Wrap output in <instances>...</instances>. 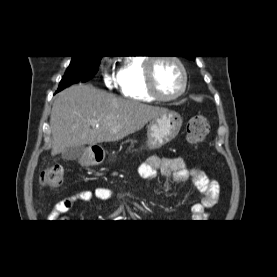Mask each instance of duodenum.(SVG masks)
Segmentation results:
<instances>
[{"mask_svg": "<svg viewBox=\"0 0 277 277\" xmlns=\"http://www.w3.org/2000/svg\"><path fill=\"white\" fill-rule=\"evenodd\" d=\"M103 158H104V153L101 150H99V152L97 150H94L91 154V157H90L91 162L93 164H96V163L102 161Z\"/></svg>", "mask_w": 277, "mask_h": 277, "instance_id": "1", "label": "duodenum"}]
</instances>
